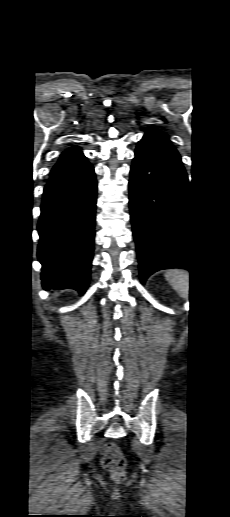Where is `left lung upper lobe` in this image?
I'll return each instance as SVG.
<instances>
[{
    "label": "left lung upper lobe",
    "mask_w": 230,
    "mask_h": 517,
    "mask_svg": "<svg viewBox=\"0 0 230 517\" xmlns=\"http://www.w3.org/2000/svg\"><path fill=\"white\" fill-rule=\"evenodd\" d=\"M143 138H147V139H156V140H160V141H163V142H166V143H170V141L168 140V138L164 135H161L155 131H152V130H147L144 137Z\"/></svg>",
    "instance_id": "5c2ea615"
}]
</instances>
